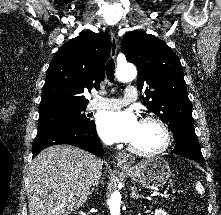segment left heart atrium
Listing matches in <instances>:
<instances>
[{
  "label": "left heart atrium",
  "instance_id": "39dd6f15",
  "mask_svg": "<svg viewBox=\"0 0 221 215\" xmlns=\"http://www.w3.org/2000/svg\"><path fill=\"white\" fill-rule=\"evenodd\" d=\"M139 121L130 111H105L97 120V129L107 142L132 143L139 130Z\"/></svg>",
  "mask_w": 221,
  "mask_h": 215
}]
</instances>
